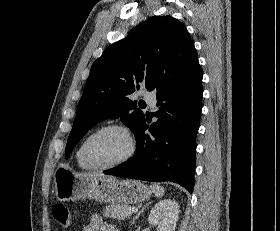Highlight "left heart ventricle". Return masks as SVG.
<instances>
[{
	"label": "left heart ventricle",
	"mask_w": 280,
	"mask_h": 231,
	"mask_svg": "<svg viewBox=\"0 0 280 231\" xmlns=\"http://www.w3.org/2000/svg\"><path fill=\"white\" fill-rule=\"evenodd\" d=\"M126 149L127 141L122 133L107 131L91 142L88 155L94 164L107 165L122 157Z\"/></svg>",
	"instance_id": "b2bd125f"
}]
</instances>
